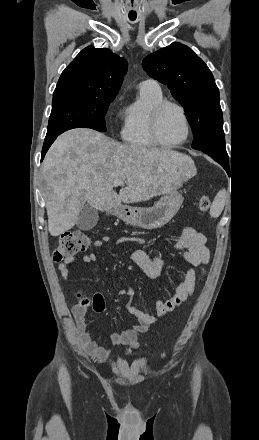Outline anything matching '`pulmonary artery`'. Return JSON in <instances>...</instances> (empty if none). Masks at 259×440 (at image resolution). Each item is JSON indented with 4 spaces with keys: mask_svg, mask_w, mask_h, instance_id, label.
Wrapping results in <instances>:
<instances>
[{
    "mask_svg": "<svg viewBox=\"0 0 259 440\" xmlns=\"http://www.w3.org/2000/svg\"><path fill=\"white\" fill-rule=\"evenodd\" d=\"M139 89L142 91H148V92H154V93L161 92L160 85L158 84L157 81H155L153 79H147V80L142 81L139 84Z\"/></svg>",
    "mask_w": 259,
    "mask_h": 440,
    "instance_id": "1",
    "label": "pulmonary artery"
}]
</instances>
